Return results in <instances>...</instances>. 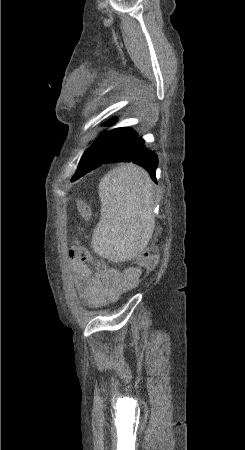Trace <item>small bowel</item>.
<instances>
[{"mask_svg": "<svg viewBox=\"0 0 245 450\" xmlns=\"http://www.w3.org/2000/svg\"><path fill=\"white\" fill-rule=\"evenodd\" d=\"M69 266L74 275L82 299L91 307L98 308L113 302L124 292L134 288L141 276L137 267L124 270L107 268L94 271L93 262H79L69 252Z\"/></svg>", "mask_w": 245, "mask_h": 450, "instance_id": "small-bowel-1", "label": "small bowel"}]
</instances>
